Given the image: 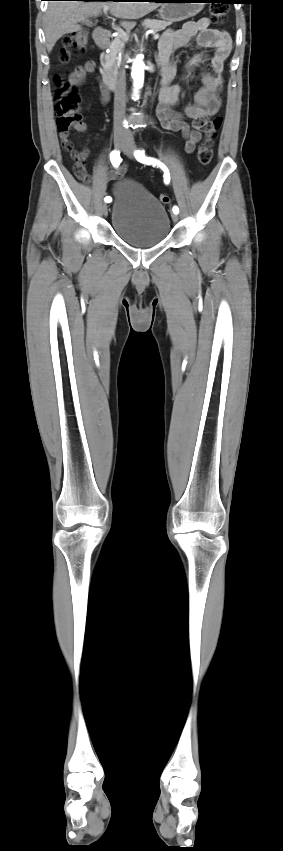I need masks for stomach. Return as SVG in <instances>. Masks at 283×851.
Returning <instances> with one entry per match:
<instances>
[{
  "mask_svg": "<svg viewBox=\"0 0 283 851\" xmlns=\"http://www.w3.org/2000/svg\"><path fill=\"white\" fill-rule=\"evenodd\" d=\"M203 0H169L160 10V17L167 22H178L198 14L204 7Z\"/></svg>",
  "mask_w": 283,
  "mask_h": 851,
  "instance_id": "obj_1",
  "label": "stomach"
}]
</instances>
